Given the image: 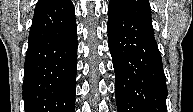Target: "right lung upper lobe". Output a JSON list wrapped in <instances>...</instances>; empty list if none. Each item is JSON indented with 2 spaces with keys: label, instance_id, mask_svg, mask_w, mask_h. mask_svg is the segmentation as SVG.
I'll use <instances>...</instances> for the list:
<instances>
[{
  "label": "right lung upper lobe",
  "instance_id": "1",
  "mask_svg": "<svg viewBox=\"0 0 193 112\" xmlns=\"http://www.w3.org/2000/svg\"><path fill=\"white\" fill-rule=\"evenodd\" d=\"M52 0H39L36 7H35V10L46 5L47 3L51 2Z\"/></svg>",
  "mask_w": 193,
  "mask_h": 112
}]
</instances>
